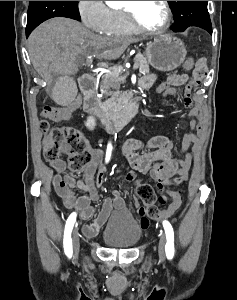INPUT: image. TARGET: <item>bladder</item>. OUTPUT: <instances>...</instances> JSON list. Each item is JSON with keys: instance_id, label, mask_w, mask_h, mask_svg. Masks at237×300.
<instances>
[{"instance_id": "31cf9c89", "label": "bladder", "mask_w": 237, "mask_h": 300, "mask_svg": "<svg viewBox=\"0 0 237 300\" xmlns=\"http://www.w3.org/2000/svg\"><path fill=\"white\" fill-rule=\"evenodd\" d=\"M141 237L142 228L128 211L113 215L101 233L104 244L114 248H131Z\"/></svg>"}]
</instances>
